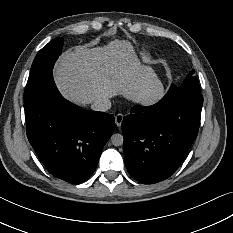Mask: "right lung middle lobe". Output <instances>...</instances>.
Here are the masks:
<instances>
[{"label": "right lung middle lobe", "mask_w": 233, "mask_h": 233, "mask_svg": "<svg viewBox=\"0 0 233 233\" xmlns=\"http://www.w3.org/2000/svg\"><path fill=\"white\" fill-rule=\"evenodd\" d=\"M63 39L58 37L43 47L35 57L25 91V100L40 91L53 79L52 69L61 54Z\"/></svg>", "instance_id": "1"}]
</instances>
